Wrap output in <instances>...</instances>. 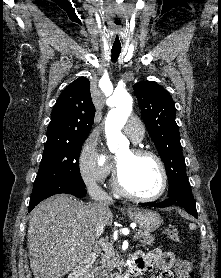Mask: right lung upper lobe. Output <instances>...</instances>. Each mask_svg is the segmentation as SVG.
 Here are the masks:
<instances>
[{"label": "right lung upper lobe", "mask_w": 221, "mask_h": 278, "mask_svg": "<svg viewBox=\"0 0 221 278\" xmlns=\"http://www.w3.org/2000/svg\"><path fill=\"white\" fill-rule=\"evenodd\" d=\"M89 89L85 77H79L64 89L53 107L46 143L70 141L89 134L95 114Z\"/></svg>", "instance_id": "cb5924a9"}]
</instances>
